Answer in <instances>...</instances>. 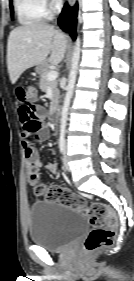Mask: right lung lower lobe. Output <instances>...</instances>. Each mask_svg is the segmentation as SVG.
Segmentation results:
<instances>
[{"mask_svg": "<svg viewBox=\"0 0 134 281\" xmlns=\"http://www.w3.org/2000/svg\"><path fill=\"white\" fill-rule=\"evenodd\" d=\"M77 4L71 10L68 9L67 4L64 6L62 13L59 17L58 23L60 27L69 32L73 39H76V17H77Z\"/></svg>", "mask_w": 134, "mask_h": 281, "instance_id": "obj_1", "label": "right lung lower lobe"}]
</instances>
